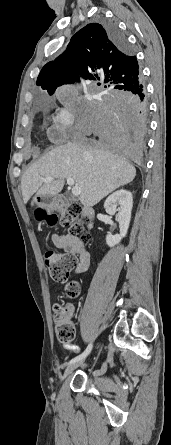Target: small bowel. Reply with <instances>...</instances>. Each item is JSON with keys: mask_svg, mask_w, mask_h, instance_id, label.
<instances>
[{"mask_svg": "<svg viewBox=\"0 0 171 445\" xmlns=\"http://www.w3.org/2000/svg\"><path fill=\"white\" fill-rule=\"evenodd\" d=\"M51 240L57 248L78 258V263L73 269L74 274H81L89 269L90 253L79 237L74 234L60 235L58 233H53L51 235ZM66 348L74 352L78 351V347L74 345H67Z\"/></svg>", "mask_w": 171, "mask_h": 445, "instance_id": "c3829d8e", "label": "small bowel"}]
</instances>
